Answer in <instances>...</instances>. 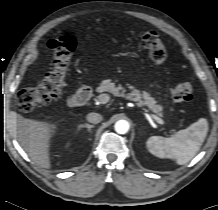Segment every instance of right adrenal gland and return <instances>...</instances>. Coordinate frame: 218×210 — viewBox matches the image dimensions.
Returning <instances> with one entry per match:
<instances>
[{"label": "right adrenal gland", "mask_w": 218, "mask_h": 210, "mask_svg": "<svg viewBox=\"0 0 218 210\" xmlns=\"http://www.w3.org/2000/svg\"><path fill=\"white\" fill-rule=\"evenodd\" d=\"M84 127L87 128L88 130H90V129L93 128L94 126L87 124V125H85Z\"/></svg>", "instance_id": "1"}]
</instances>
